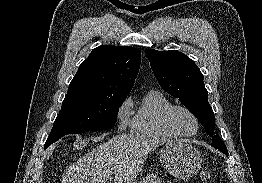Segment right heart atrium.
<instances>
[{
  "label": "right heart atrium",
  "instance_id": "right-heart-atrium-1",
  "mask_svg": "<svg viewBox=\"0 0 262 183\" xmlns=\"http://www.w3.org/2000/svg\"><path fill=\"white\" fill-rule=\"evenodd\" d=\"M131 108L132 101L130 97H127L118 107L116 117L119 131H124L131 125Z\"/></svg>",
  "mask_w": 262,
  "mask_h": 183
}]
</instances>
